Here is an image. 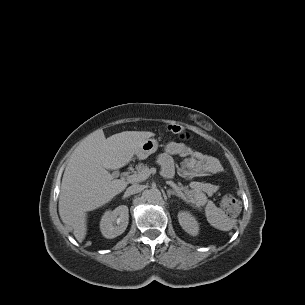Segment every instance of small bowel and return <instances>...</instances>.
<instances>
[{"mask_svg":"<svg viewBox=\"0 0 305 305\" xmlns=\"http://www.w3.org/2000/svg\"><path fill=\"white\" fill-rule=\"evenodd\" d=\"M175 155L195 159L199 168L204 172L216 173L220 171V164L215 158L194 151L183 142H171L166 145L164 151L157 158V162L161 166L162 175L165 178H171L174 175L173 156Z\"/></svg>","mask_w":305,"mask_h":305,"instance_id":"obj_1","label":"small bowel"}]
</instances>
